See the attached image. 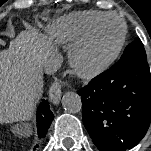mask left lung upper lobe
<instances>
[{"label":"left lung upper lobe","instance_id":"obj_1","mask_svg":"<svg viewBox=\"0 0 151 151\" xmlns=\"http://www.w3.org/2000/svg\"><path fill=\"white\" fill-rule=\"evenodd\" d=\"M147 58L145 48L143 43L139 38H136L135 41L130 43L124 50L123 55L121 56L119 63H123L127 60L133 58Z\"/></svg>","mask_w":151,"mask_h":151}]
</instances>
